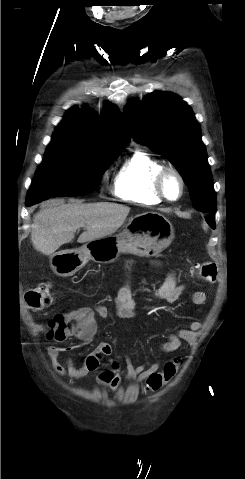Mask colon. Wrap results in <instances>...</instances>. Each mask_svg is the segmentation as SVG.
Segmentation results:
<instances>
[{"mask_svg": "<svg viewBox=\"0 0 245 479\" xmlns=\"http://www.w3.org/2000/svg\"><path fill=\"white\" fill-rule=\"evenodd\" d=\"M199 276L208 282H214L217 277V266L212 262L200 263L197 267ZM25 303L30 309H40L49 305L53 300V292L49 283L40 284L26 291ZM72 320L63 314L56 315L49 326L52 330L50 337L55 340H66L72 333ZM182 364V359L176 357L166 362L160 372L151 374L146 380V388L156 392L168 384L177 374Z\"/></svg>", "mask_w": 245, "mask_h": 479, "instance_id": "1", "label": "colon"}]
</instances>
